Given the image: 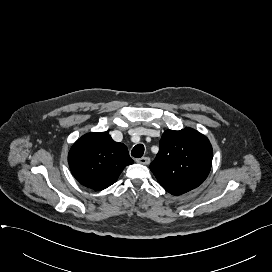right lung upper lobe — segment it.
Returning <instances> with one entry per match:
<instances>
[{
	"instance_id": "cb5924a9",
	"label": "right lung upper lobe",
	"mask_w": 272,
	"mask_h": 272,
	"mask_svg": "<svg viewBox=\"0 0 272 272\" xmlns=\"http://www.w3.org/2000/svg\"><path fill=\"white\" fill-rule=\"evenodd\" d=\"M68 162L82 185L98 191L115 183L122 170L133 164L127 147L115 142L108 132L82 136L72 146Z\"/></svg>"
}]
</instances>
